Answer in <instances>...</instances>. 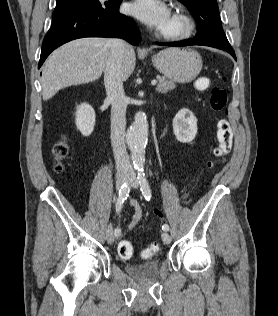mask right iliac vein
<instances>
[{"instance_id":"obj_1","label":"right iliac vein","mask_w":278,"mask_h":316,"mask_svg":"<svg viewBox=\"0 0 278 316\" xmlns=\"http://www.w3.org/2000/svg\"><path fill=\"white\" fill-rule=\"evenodd\" d=\"M128 176L125 173H119L116 177V188L117 190H120L121 186L127 181ZM106 240L109 244H112L114 242V234L113 229L109 225L106 230Z\"/></svg>"}]
</instances>
